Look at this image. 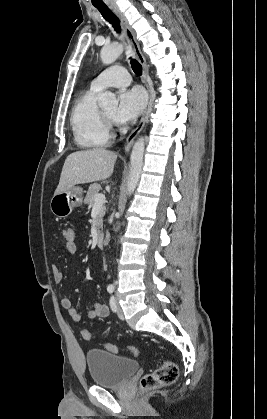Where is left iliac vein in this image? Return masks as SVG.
Returning <instances> with one entry per match:
<instances>
[{
    "label": "left iliac vein",
    "mask_w": 267,
    "mask_h": 419,
    "mask_svg": "<svg viewBox=\"0 0 267 419\" xmlns=\"http://www.w3.org/2000/svg\"><path fill=\"white\" fill-rule=\"evenodd\" d=\"M116 307H117L116 311H117L118 317L123 320L124 319V314H123L121 306L119 304H117Z\"/></svg>",
    "instance_id": "left-iliac-vein-1"
}]
</instances>
